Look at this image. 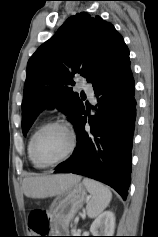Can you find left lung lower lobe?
<instances>
[{
  "mask_svg": "<svg viewBox=\"0 0 158 237\" xmlns=\"http://www.w3.org/2000/svg\"><path fill=\"white\" fill-rule=\"evenodd\" d=\"M135 82L130 61L94 88L98 103L85 131V108L76 127L77 147L56 173H74L103 182L124 200L131 181V150L136 119Z\"/></svg>",
  "mask_w": 158,
  "mask_h": 237,
  "instance_id": "1",
  "label": "left lung lower lobe"
}]
</instances>
